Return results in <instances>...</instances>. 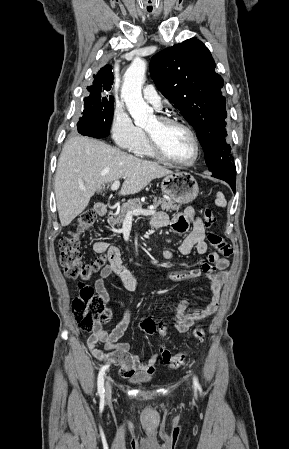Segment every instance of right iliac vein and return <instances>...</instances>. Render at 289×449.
Returning <instances> with one entry per match:
<instances>
[{"label": "right iliac vein", "mask_w": 289, "mask_h": 449, "mask_svg": "<svg viewBox=\"0 0 289 449\" xmlns=\"http://www.w3.org/2000/svg\"><path fill=\"white\" fill-rule=\"evenodd\" d=\"M112 388L109 381L106 383V399L108 400L111 397Z\"/></svg>", "instance_id": "obj_1"}]
</instances>
